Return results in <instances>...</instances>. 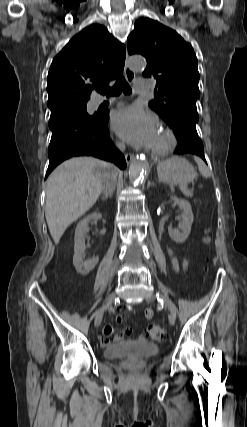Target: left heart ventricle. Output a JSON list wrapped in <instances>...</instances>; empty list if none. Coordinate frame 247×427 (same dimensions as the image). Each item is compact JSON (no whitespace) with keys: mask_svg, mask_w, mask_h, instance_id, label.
I'll return each instance as SVG.
<instances>
[{"mask_svg":"<svg viewBox=\"0 0 247 427\" xmlns=\"http://www.w3.org/2000/svg\"><path fill=\"white\" fill-rule=\"evenodd\" d=\"M161 141H162V135H161L160 132H157V135H156L155 141L153 143V146L159 144Z\"/></svg>","mask_w":247,"mask_h":427,"instance_id":"1","label":"left heart ventricle"}]
</instances>
